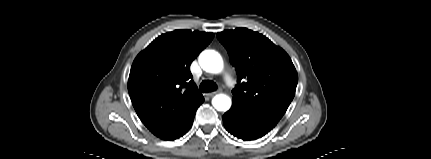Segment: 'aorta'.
<instances>
[{
  "label": "aorta",
  "instance_id": "762f6f07",
  "mask_svg": "<svg viewBox=\"0 0 431 159\" xmlns=\"http://www.w3.org/2000/svg\"><path fill=\"white\" fill-rule=\"evenodd\" d=\"M199 64L203 70L213 74L222 72L224 67L221 55L215 50L203 51L199 55ZM231 104V98L225 94H217L212 99V105L217 111H228Z\"/></svg>",
  "mask_w": 431,
  "mask_h": 159
}]
</instances>
